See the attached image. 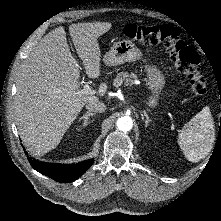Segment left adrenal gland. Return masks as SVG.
I'll list each match as a JSON object with an SVG mask.
<instances>
[{
    "label": "left adrenal gland",
    "mask_w": 221,
    "mask_h": 221,
    "mask_svg": "<svg viewBox=\"0 0 221 221\" xmlns=\"http://www.w3.org/2000/svg\"><path fill=\"white\" fill-rule=\"evenodd\" d=\"M144 116H145V127H148L149 123H151L152 120L149 118V116L145 111H144Z\"/></svg>",
    "instance_id": "obj_1"
}]
</instances>
